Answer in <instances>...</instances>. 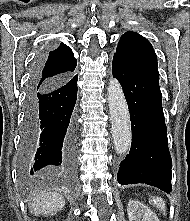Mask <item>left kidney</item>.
Instances as JSON below:
<instances>
[{
  "instance_id": "5707ae66",
  "label": "left kidney",
  "mask_w": 190,
  "mask_h": 221,
  "mask_svg": "<svg viewBox=\"0 0 190 221\" xmlns=\"http://www.w3.org/2000/svg\"><path fill=\"white\" fill-rule=\"evenodd\" d=\"M129 221H159L158 217L146 205L130 200L127 207Z\"/></svg>"
}]
</instances>
